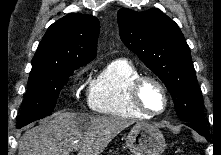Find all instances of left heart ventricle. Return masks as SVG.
I'll return each instance as SVG.
<instances>
[{"label": "left heart ventricle", "instance_id": "left-heart-ventricle-1", "mask_svg": "<svg viewBox=\"0 0 221 155\" xmlns=\"http://www.w3.org/2000/svg\"><path fill=\"white\" fill-rule=\"evenodd\" d=\"M144 105L151 111H160L164 107V97L161 90L153 83H146L141 91Z\"/></svg>", "mask_w": 221, "mask_h": 155}]
</instances>
